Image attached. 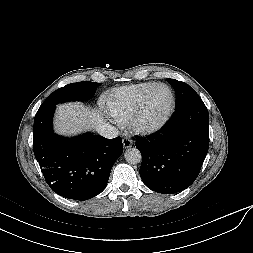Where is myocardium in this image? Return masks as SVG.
I'll list each match as a JSON object with an SVG mask.
<instances>
[{
	"label": "myocardium",
	"mask_w": 253,
	"mask_h": 253,
	"mask_svg": "<svg viewBox=\"0 0 253 253\" xmlns=\"http://www.w3.org/2000/svg\"><path fill=\"white\" fill-rule=\"evenodd\" d=\"M158 87H166L170 92V105L166 114L157 122L148 123L143 119L146 103L151 93ZM176 98L173 89L165 83H156L148 88L142 95L138 107L129 121L130 128L137 134L150 135L160 131L171 119L175 110Z\"/></svg>",
	"instance_id": "myocardium-1"
}]
</instances>
